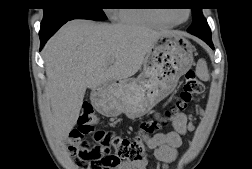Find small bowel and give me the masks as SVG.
I'll use <instances>...</instances> for the list:
<instances>
[{"instance_id":"obj_1","label":"small bowel","mask_w":252,"mask_h":169,"mask_svg":"<svg viewBox=\"0 0 252 169\" xmlns=\"http://www.w3.org/2000/svg\"><path fill=\"white\" fill-rule=\"evenodd\" d=\"M159 117V116H157ZM173 131L160 133L146 138V144L153 150L154 157L167 166L175 160L177 149L182 144V136L187 132V118L183 113L175 114L170 118ZM148 160L136 162H122L117 169H147Z\"/></svg>"}]
</instances>
